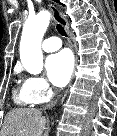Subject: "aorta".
<instances>
[{
    "label": "aorta",
    "mask_w": 117,
    "mask_h": 136,
    "mask_svg": "<svg viewBox=\"0 0 117 136\" xmlns=\"http://www.w3.org/2000/svg\"><path fill=\"white\" fill-rule=\"evenodd\" d=\"M49 22L48 11H41L25 21L20 41V59L31 74H39L43 69L41 43Z\"/></svg>",
    "instance_id": "aorta-1"
}]
</instances>
